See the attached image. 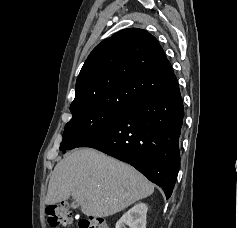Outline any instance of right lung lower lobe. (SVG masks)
Instances as JSON below:
<instances>
[{"label": "right lung lower lobe", "instance_id": "1", "mask_svg": "<svg viewBox=\"0 0 238 228\" xmlns=\"http://www.w3.org/2000/svg\"><path fill=\"white\" fill-rule=\"evenodd\" d=\"M178 82L139 99L78 147H91L127 162L160 186L168 199L176 182L184 107Z\"/></svg>", "mask_w": 238, "mask_h": 228}]
</instances>
